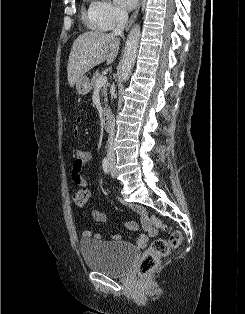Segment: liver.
Segmentation results:
<instances>
[{
	"label": "liver",
	"mask_w": 245,
	"mask_h": 314,
	"mask_svg": "<svg viewBox=\"0 0 245 314\" xmlns=\"http://www.w3.org/2000/svg\"><path fill=\"white\" fill-rule=\"evenodd\" d=\"M119 39L112 33L88 31L77 37L69 55L68 83L73 87L87 71L107 60L113 63L119 51Z\"/></svg>",
	"instance_id": "obj_1"
}]
</instances>
